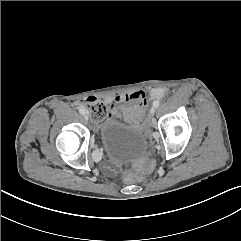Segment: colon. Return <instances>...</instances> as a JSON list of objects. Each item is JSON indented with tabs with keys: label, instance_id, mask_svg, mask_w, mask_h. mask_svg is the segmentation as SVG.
Instances as JSON below:
<instances>
[{
	"label": "colon",
	"instance_id": "colon-1",
	"mask_svg": "<svg viewBox=\"0 0 241 241\" xmlns=\"http://www.w3.org/2000/svg\"><path fill=\"white\" fill-rule=\"evenodd\" d=\"M83 107L95 120H102L108 116L110 106L101 102L95 97H88L83 102ZM152 170V164L148 160H141L135 164L133 171H126L125 178L130 182H138L143 179V175Z\"/></svg>",
	"mask_w": 241,
	"mask_h": 241
}]
</instances>
